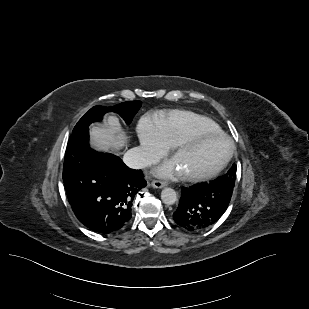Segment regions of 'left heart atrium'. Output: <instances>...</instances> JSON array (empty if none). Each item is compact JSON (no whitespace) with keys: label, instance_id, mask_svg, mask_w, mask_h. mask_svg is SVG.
<instances>
[{"label":"left heart atrium","instance_id":"obj_1","mask_svg":"<svg viewBox=\"0 0 309 309\" xmlns=\"http://www.w3.org/2000/svg\"><path fill=\"white\" fill-rule=\"evenodd\" d=\"M156 173L165 178H178L184 174L176 158L165 161Z\"/></svg>","mask_w":309,"mask_h":309}]
</instances>
